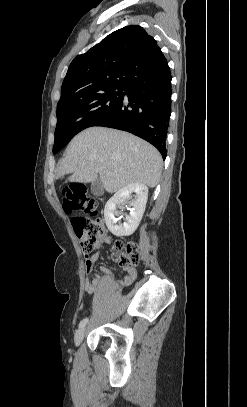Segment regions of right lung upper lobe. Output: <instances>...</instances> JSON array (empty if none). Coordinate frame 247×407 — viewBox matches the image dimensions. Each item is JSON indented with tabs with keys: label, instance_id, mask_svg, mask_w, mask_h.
<instances>
[{
	"label": "right lung upper lobe",
	"instance_id": "cb5924a9",
	"mask_svg": "<svg viewBox=\"0 0 247 407\" xmlns=\"http://www.w3.org/2000/svg\"><path fill=\"white\" fill-rule=\"evenodd\" d=\"M156 40L138 25L121 28L74 58L57 107L110 87H126L166 62Z\"/></svg>",
	"mask_w": 247,
	"mask_h": 407
}]
</instances>
